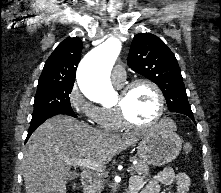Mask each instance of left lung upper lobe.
I'll return each instance as SVG.
<instances>
[{"label": "left lung upper lobe", "mask_w": 221, "mask_h": 193, "mask_svg": "<svg viewBox=\"0 0 221 193\" xmlns=\"http://www.w3.org/2000/svg\"><path fill=\"white\" fill-rule=\"evenodd\" d=\"M127 64L160 87L171 112L192 113L178 62L160 38L151 33L136 34Z\"/></svg>", "instance_id": "obj_1"}]
</instances>
